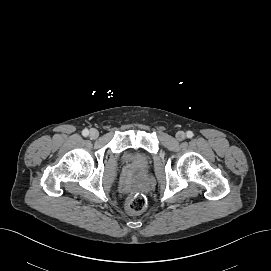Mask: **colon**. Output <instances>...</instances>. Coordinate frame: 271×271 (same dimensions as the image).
<instances>
[{
    "label": "colon",
    "instance_id": "obj_1",
    "mask_svg": "<svg viewBox=\"0 0 271 271\" xmlns=\"http://www.w3.org/2000/svg\"><path fill=\"white\" fill-rule=\"evenodd\" d=\"M147 197L143 193L132 194L126 203V208L132 213H141L147 208Z\"/></svg>",
    "mask_w": 271,
    "mask_h": 271
}]
</instances>
